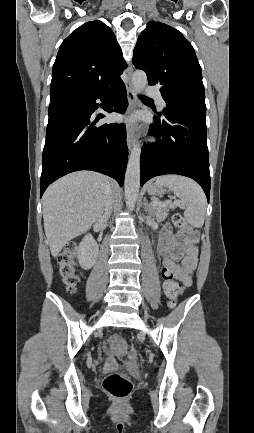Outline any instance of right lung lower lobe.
<instances>
[{"instance_id":"98d812e1","label":"right lung lower lobe","mask_w":254,"mask_h":433,"mask_svg":"<svg viewBox=\"0 0 254 433\" xmlns=\"http://www.w3.org/2000/svg\"><path fill=\"white\" fill-rule=\"evenodd\" d=\"M108 113H123L127 94L123 81L97 92H63L51 96L43 150L40 197L58 178L78 170H93L123 185L128 161L124 124L96 125L105 117L94 111L96 99Z\"/></svg>"}]
</instances>
